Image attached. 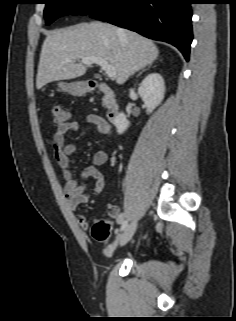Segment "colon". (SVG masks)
<instances>
[{
	"label": "colon",
	"instance_id": "obj_1",
	"mask_svg": "<svg viewBox=\"0 0 236 321\" xmlns=\"http://www.w3.org/2000/svg\"><path fill=\"white\" fill-rule=\"evenodd\" d=\"M69 121L68 111L62 106L53 107V122L56 126H62ZM111 225L107 220L100 219L92 227L91 234L99 242L109 239Z\"/></svg>",
	"mask_w": 236,
	"mask_h": 321
}]
</instances>
